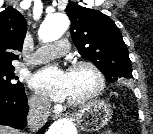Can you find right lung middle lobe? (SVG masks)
<instances>
[{
  "instance_id": "1",
  "label": "right lung middle lobe",
  "mask_w": 153,
  "mask_h": 134,
  "mask_svg": "<svg viewBox=\"0 0 153 134\" xmlns=\"http://www.w3.org/2000/svg\"><path fill=\"white\" fill-rule=\"evenodd\" d=\"M14 69L13 66L0 68V90L17 92L24 89L21 82H16L18 77L15 76Z\"/></svg>"
}]
</instances>
